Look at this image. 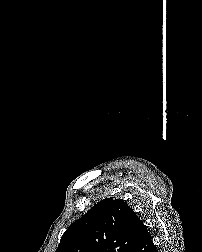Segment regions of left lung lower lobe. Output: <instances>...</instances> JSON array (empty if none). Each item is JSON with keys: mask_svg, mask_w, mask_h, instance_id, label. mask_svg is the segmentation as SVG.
I'll use <instances>...</instances> for the list:
<instances>
[{"mask_svg": "<svg viewBox=\"0 0 202 252\" xmlns=\"http://www.w3.org/2000/svg\"><path fill=\"white\" fill-rule=\"evenodd\" d=\"M133 252H156V246L143 222L139 225Z\"/></svg>", "mask_w": 202, "mask_h": 252, "instance_id": "1", "label": "left lung lower lobe"}]
</instances>
